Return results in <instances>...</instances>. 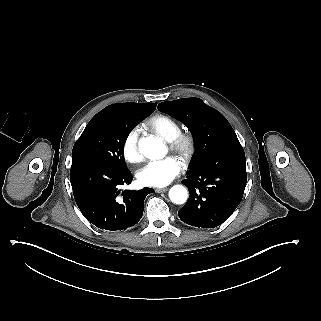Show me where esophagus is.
I'll return each mask as SVG.
<instances>
[{
    "label": "esophagus",
    "mask_w": 321,
    "mask_h": 321,
    "mask_svg": "<svg viewBox=\"0 0 321 321\" xmlns=\"http://www.w3.org/2000/svg\"><path fill=\"white\" fill-rule=\"evenodd\" d=\"M168 190V188H157L155 189V192L156 193H163V192H166Z\"/></svg>",
    "instance_id": "34e87169"
}]
</instances>
